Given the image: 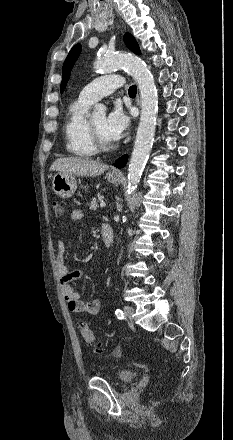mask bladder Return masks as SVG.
Wrapping results in <instances>:
<instances>
[{"instance_id": "obj_1", "label": "bladder", "mask_w": 233, "mask_h": 440, "mask_svg": "<svg viewBox=\"0 0 233 440\" xmlns=\"http://www.w3.org/2000/svg\"><path fill=\"white\" fill-rule=\"evenodd\" d=\"M135 375L133 370L121 369L116 373V379L121 383H127L133 380Z\"/></svg>"}]
</instances>
